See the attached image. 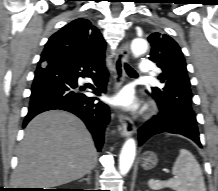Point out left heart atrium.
<instances>
[{
  "mask_svg": "<svg viewBox=\"0 0 218 191\" xmlns=\"http://www.w3.org/2000/svg\"><path fill=\"white\" fill-rule=\"evenodd\" d=\"M112 101L114 104L125 109H134L138 105L137 98L129 88H125L117 93Z\"/></svg>",
  "mask_w": 218,
  "mask_h": 191,
  "instance_id": "left-heart-atrium-1",
  "label": "left heart atrium"
}]
</instances>
